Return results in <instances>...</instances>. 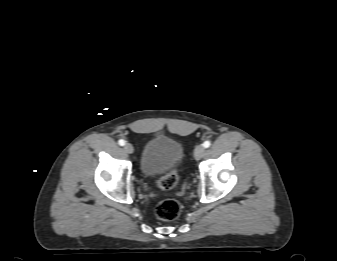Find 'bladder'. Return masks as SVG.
Returning a JSON list of instances; mask_svg holds the SVG:
<instances>
[{
    "label": "bladder",
    "instance_id": "1",
    "mask_svg": "<svg viewBox=\"0 0 337 261\" xmlns=\"http://www.w3.org/2000/svg\"><path fill=\"white\" fill-rule=\"evenodd\" d=\"M184 159L183 145L166 135H155L143 146L139 169L144 177H156L180 166Z\"/></svg>",
    "mask_w": 337,
    "mask_h": 261
}]
</instances>
